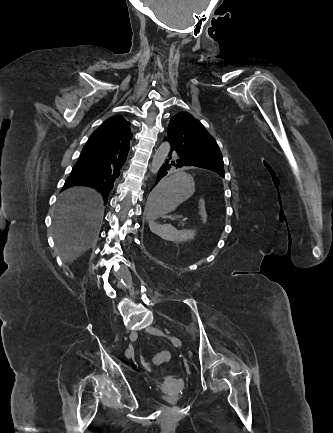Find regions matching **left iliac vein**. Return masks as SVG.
I'll list each match as a JSON object with an SVG mask.
<instances>
[{"label":"left iliac vein","instance_id":"4c4485c4","mask_svg":"<svg viewBox=\"0 0 333 433\" xmlns=\"http://www.w3.org/2000/svg\"><path fill=\"white\" fill-rule=\"evenodd\" d=\"M146 331L153 335L164 336V333L156 327L150 326L146 329ZM170 339L176 347L180 348L182 346L180 339L177 338L176 336H170Z\"/></svg>","mask_w":333,"mask_h":433}]
</instances>
